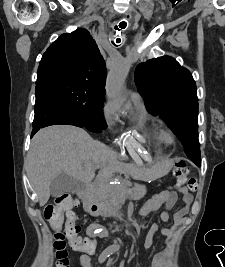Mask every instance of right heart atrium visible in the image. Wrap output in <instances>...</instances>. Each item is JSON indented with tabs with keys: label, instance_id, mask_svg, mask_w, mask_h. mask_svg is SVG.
<instances>
[{
	"label": "right heart atrium",
	"instance_id": "obj_1",
	"mask_svg": "<svg viewBox=\"0 0 225 267\" xmlns=\"http://www.w3.org/2000/svg\"><path fill=\"white\" fill-rule=\"evenodd\" d=\"M116 114L117 110L115 104L111 101H107L103 106L102 115L109 126L115 121Z\"/></svg>",
	"mask_w": 225,
	"mask_h": 267
}]
</instances>
